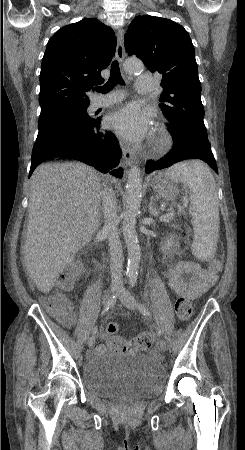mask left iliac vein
Instances as JSON below:
<instances>
[{"label":"left iliac vein","mask_w":245,"mask_h":450,"mask_svg":"<svg viewBox=\"0 0 245 450\" xmlns=\"http://www.w3.org/2000/svg\"><path fill=\"white\" fill-rule=\"evenodd\" d=\"M118 297L125 307H127L131 310L136 309V302H135L134 297L131 295V293L127 289H125L124 286L120 287ZM159 347L162 351H166L167 350L166 342L161 339L159 341Z\"/></svg>","instance_id":"obj_1"}]
</instances>
